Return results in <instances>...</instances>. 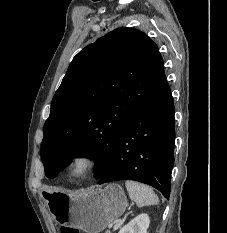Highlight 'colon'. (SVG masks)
<instances>
[{
  "mask_svg": "<svg viewBox=\"0 0 227 233\" xmlns=\"http://www.w3.org/2000/svg\"><path fill=\"white\" fill-rule=\"evenodd\" d=\"M61 233H82V232L74 227H62Z\"/></svg>",
  "mask_w": 227,
  "mask_h": 233,
  "instance_id": "1",
  "label": "colon"
}]
</instances>
